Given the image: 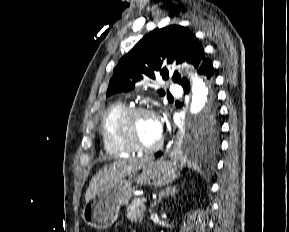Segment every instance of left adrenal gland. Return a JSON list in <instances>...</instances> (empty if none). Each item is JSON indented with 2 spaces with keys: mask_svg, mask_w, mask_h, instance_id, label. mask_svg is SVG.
Here are the masks:
<instances>
[{
  "mask_svg": "<svg viewBox=\"0 0 289 232\" xmlns=\"http://www.w3.org/2000/svg\"><path fill=\"white\" fill-rule=\"evenodd\" d=\"M177 193L176 186H168L165 190H161L159 193L158 200H155L152 204V207H154L157 203L159 204L162 200V198L168 197L169 195L173 196Z\"/></svg>",
  "mask_w": 289,
  "mask_h": 232,
  "instance_id": "obj_1",
  "label": "left adrenal gland"
}]
</instances>
